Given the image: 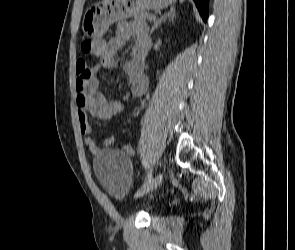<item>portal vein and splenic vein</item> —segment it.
I'll return each instance as SVG.
<instances>
[{"label":"portal vein and splenic vein","instance_id":"18ae733b","mask_svg":"<svg viewBox=\"0 0 295 250\" xmlns=\"http://www.w3.org/2000/svg\"><path fill=\"white\" fill-rule=\"evenodd\" d=\"M148 19H149V21H153V20L156 19V17L155 16H150Z\"/></svg>","mask_w":295,"mask_h":250}]
</instances>
